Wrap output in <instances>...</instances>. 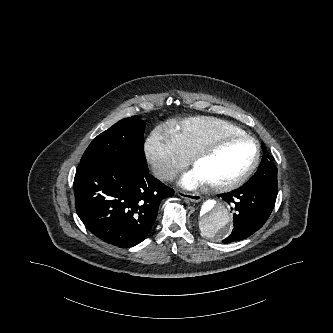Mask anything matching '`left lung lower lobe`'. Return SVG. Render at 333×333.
I'll return each instance as SVG.
<instances>
[{
  "mask_svg": "<svg viewBox=\"0 0 333 333\" xmlns=\"http://www.w3.org/2000/svg\"><path fill=\"white\" fill-rule=\"evenodd\" d=\"M263 152L267 153L262 143ZM278 187L243 185L219 196L232 205L234 228L223 243L245 239L259 230L269 218L276 201Z\"/></svg>",
  "mask_w": 333,
  "mask_h": 333,
  "instance_id": "left-lung-lower-lobe-1",
  "label": "left lung lower lobe"
}]
</instances>
